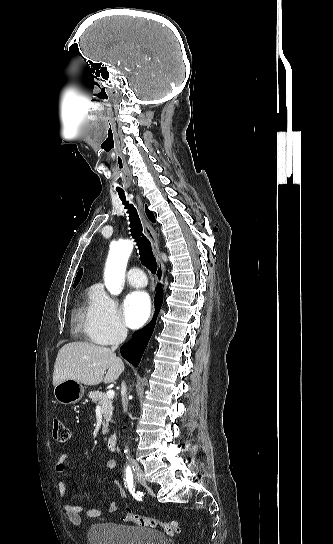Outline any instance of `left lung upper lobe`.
<instances>
[{
    "label": "left lung upper lobe",
    "mask_w": 333,
    "mask_h": 544,
    "mask_svg": "<svg viewBox=\"0 0 333 544\" xmlns=\"http://www.w3.org/2000/svg\"><path fill=\"white\" fill-rule=\"evenodd\" d=\"M146 212H147V215H148L149 219H150L152 222H154V221H155L154 215L152 214V212H150V211L148 210L147 207H146Z\"/></svg>",
    "instance_id": "5c2ea615"
}]
</instances>
